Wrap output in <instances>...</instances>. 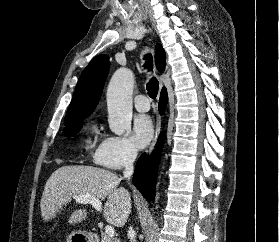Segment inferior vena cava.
<instances>
[{"label":"inferior vena cava","mask_w":279,"mask_h":242,"mask_svg":"<svg viewBox=\"0 0 279 242\" xmlns=\"http://www.w3.org/2000/svg\"><path fill=\"white\" fill-rule=\"evenodd\" d=\"M136 156H137V150L135 148H131L124 164V171H123L124 177H130L133 174L134 171L133 163L136 159ZM128 237L130 238V242H136L135 231L131 226L129 227L128 230Z\"/></svg>","instance_id":"602c4592"}]
</instances>
